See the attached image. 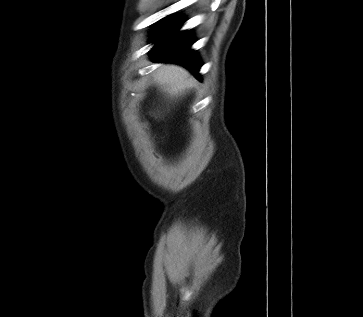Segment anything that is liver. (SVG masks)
Returning <instances> with one entry per match:
<instances>
[{"mask_svg": "<svg viewBox=\"0 0 363 317\" xmlns=\"http://www.w3.org/2000/svg\"><path fill=\"white\" fill-rule=\"evenodd\" d=\"M156 79L161 85H169L171 87V96L181 95L193 85V80L189 77L188 71L183 67L173 64L161 66L157 72Z\"/></svg>", "mask_w": 363, "mask_h": 317, "instance_id": "obj_1", "label": "liver"}]
</instances>
